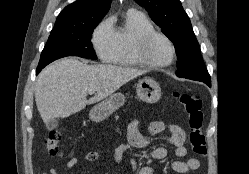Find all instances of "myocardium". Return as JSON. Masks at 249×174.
I'll return each mask as SVG.
<instances>
[{"label": "myocardium", "mask_w": 249, "mask_h": 174, "mask_svg": "<svg viewBox=\"0 0 249 174\" xmlns=\"http://www.w3.org/2000/svg\"><path fill=\"white\" fill-rule=\"evenodd\" d=\"M157 38L164 39L171 47L172 55H171V58L166 62L156 61L152 59L149 55V47L151 43ZM134 54L142 64L148 67L165 68V67L170 66L174 62L176 55H177V50H176V46L174 42L172 41L170 37H168L166 34L159 32L157 30H151V31L144 32L137 38L135 46H134Z\"/></svg>", "instance_id": "f54148a6"}]
</instances>
